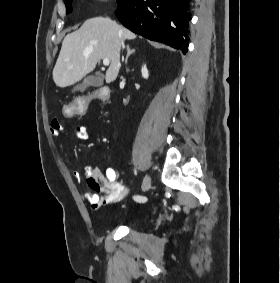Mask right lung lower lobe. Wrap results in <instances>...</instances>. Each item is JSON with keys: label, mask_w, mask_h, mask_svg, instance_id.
Here are the masks:
<instances>
[{"label": "right lung lower lobe", "mask_w": 280, "mask_h": 283, "mask_svg": "<svg viewBox=\"0 0 280 283\" xmlns=\"http://www.w3.org/2000/svg\"><path fill=\"white\" fill-rule=\"evenodd\" d=\"M191 0H127L115 14L134 33L188 51Z\"/></svg>", "instance_id": "obj_1"}]
</instances>
